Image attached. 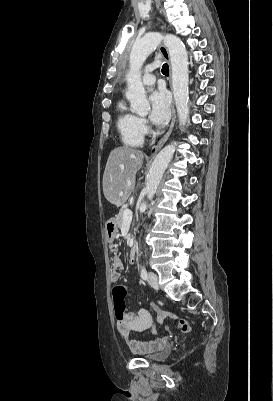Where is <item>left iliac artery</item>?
I'll list each match as a JSON object with an SVG mask.
<instances>
[{
  "instance_id": "1",
  "label": "left iliac artery",
  "mask_w": 273,
  "mask_h": 401,
  "mask_svg": "<svg viewBox=\"0 0 273 401\" xmlns=\"http://www.w3.org/2000/svg\"><path fill=\"white\" fill-rule=\"evenodd\" d=\"M141 277H142L144 280H146L147 277H148L147 271H146V269H145L144 266H143L142 269H141Z\"/></svg>"
}]
</instances>
